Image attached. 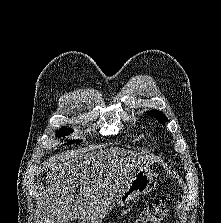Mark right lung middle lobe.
<instances>
[{"label":"right lung middle lobe","mask_w":221,"mask_h":223,"mask_svg":"<svg viewBox=\"0 0 221 223\" xmlns=\"http://www.w3.org/2000/svg\"><path fill=\"white\" fill-rule=\"evenodd\" d=\"M73 131L70 130L69 128H61L57 133H56V136L57 137H65L67 135H69L70 133H72ZM74 140L72 141H68L69 144L73 143ZM78 142V140H77Z\"/></svg>","instance_id":"obj_1"}]
</instances>
